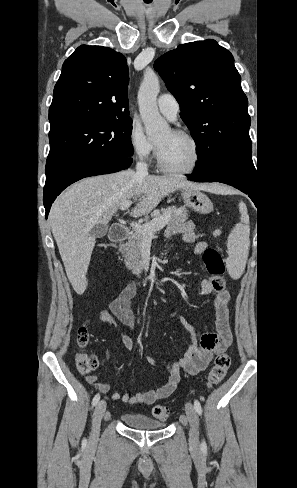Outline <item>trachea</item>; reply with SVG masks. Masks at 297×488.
<instances>
[{
    "instance_id": "trachea-1",
    "label": "trachea",
    "mask_w": 297,
    "mask_h": 488,
    "mask_svg": "<svg viewBox=\"0 0 297 488\" xmlns=\"http://www.w3.org/2000/svg\"><path fill=\"white\" fill-rule=\"evenodd\" d=\"M145 1H151V0H145ZM147 3H149V2H147Z\"/></svg>"
}]
</instances>
